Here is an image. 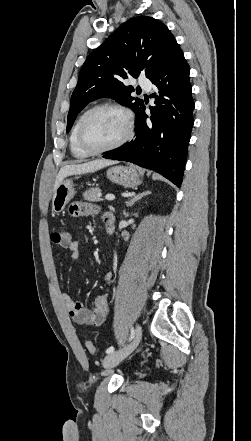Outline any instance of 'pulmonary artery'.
<instances>
[{
	"label": "pulmonary artery",
	"instance_id": "obj_1",
	"mask_svg": "<svg viewBox=\"0 0 251 441\" xmlns=\"http://www.w3.org/2000/svg\"><path fill=\"white\" fill-rule=\"evenodd\" d=\"M138 84L146 90H151V88H152V83L150 82V80H148L146 78H140L138 80Z\"/></svg>",
	"mask_w": 251,
	"mask_h": 441
}]
</instances>
